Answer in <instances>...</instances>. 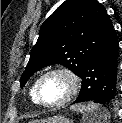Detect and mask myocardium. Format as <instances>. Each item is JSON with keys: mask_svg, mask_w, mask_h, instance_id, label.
I'll list each match as a JSON object with an SVG mask.
<instances>
[{"mask_svg": "<svg viewBox=\"0 0 122 123\" xmlns=\"http://www.w3.org/2000/svg\"><path fill=\"white\" fill-rule=\"evenodd\" d=\"M53 74H60L65 76L69 81V90L67 94L59 101L54 103H46L45 101H43L41 97V86L45 78ZM80 87H81V78L74 70L68 67H56L46 71L39 78L36 85V99L39 104L45 107H48V108L59 107L69 102L79 92Z\"/></svg>", "mask_w": 122, "mask_h": 123, "instance_id": "myocardium-1", "label": "myocardium"}]
</instances>
